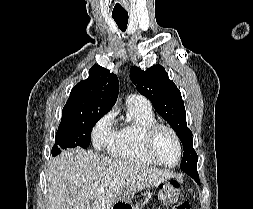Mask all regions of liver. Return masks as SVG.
Returning <instances> with one entry per match:
<instances>
[{"mask_svg":"<svg viewBox=\"0 0 253 209\" xmlns=\"http://www.w3.org/2000/svg\"><path fill=\"white\" fill-rule=\"evenodd\" d=\"M173 177L168 170L68 149L49 163L46 209H111L124 192L136 193Z\"/></svg>","mask_w":253,"mask_h":209,"instance_id":"obj_1","label":"liver"}]
</instances>
